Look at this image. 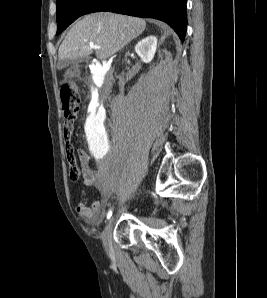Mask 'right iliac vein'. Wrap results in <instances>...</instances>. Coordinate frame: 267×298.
I'll list each match as a JSON object with an SVG mask.
<instances>
[{
    "instance_id": "1",
    "label": "right iliac vein",
    "mask_w": 267,
    "mask_h": 298,
    "mask_svg": "<svg viewBox=\"0 0 267 298\" xmlns=\"http://www.w3.org/2000/svg\"><path fill=\"white\" fill-rule=\"evenodd\" d=\"M113 220L112 217L106 224L103 232H102V241L105 248V251L108 255L113 254V247H112V227H113Z\"/></svg>"
}]
</instances>
